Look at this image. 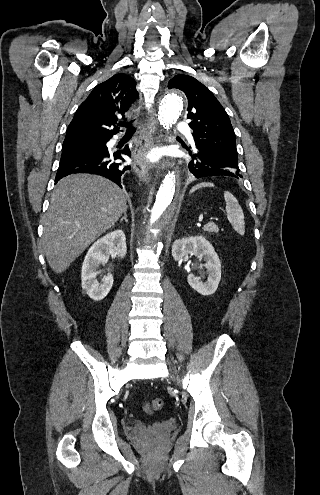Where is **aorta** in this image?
<instances>
[{
    "mask_svg": "<svg viewBox=\"0 0 320 495\" xmlns=\"http://www.w3.org/2000/svg\"><path fill=\"white\" fill-rule=\"evenodd\" d=\"M182 109V91L178 89L168 91L159 110L160 124L168 130L178 120ZM175 187V175L173 172H168L160 185L155 203L143 227L144 237L149 246H153L162 238L166 227L173 220L177 209V203L174 202Z\"/></svg>",
    "mask_w": 320,
    "mask_h": 495,
    "instance_id": "1",
    "label": "aorta"
}]
</instances>
